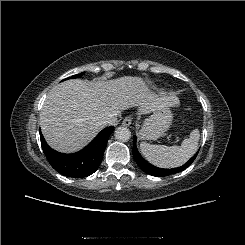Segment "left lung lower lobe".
Listing matches in <instances>:
<instances>
[{
    "mask_svg": "<svg viewBox=\"0 0 245 245\" xmlns=\"http://www.w3.org/2000/svg\"><path fill=\"white\" fill-rule=\"evenodd\" d=\"M132 153H133V157H134L136 163L139 165V167L145 173L156 176V177L168 176V175H172V174L179 173V172L183 171L189 165L192 164V162L195 160V158L198 154V152H197L188 162H186L184 165H182L178 168H173V169L158 168V167L151 165L147 161H145L142 158V156L139 154V152L136 148V137H134V145H133Z\"/></svg>",
    "mask_w": 245,
    "mask_h": 245,
    "instance_id": "0a47b994",
    "label": "left lung lower lobe"
}]
</instances>
